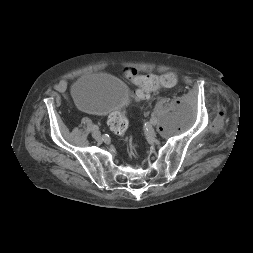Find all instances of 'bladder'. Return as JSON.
Returning <instances> with one entry per match:
<instances>
[{"label": "bladder", "instance_id": "31cf9c89", "mask_svg": "<svg viewBox=\"0 0 253 253\" xmlns=\"http://www.w3.org/2000/svg\"><path fill=\"white\" fill-rule=\"evenodd\" d=\"M71 94L83 109L95 114H107L121 110L129 102L127 85L108 74L92 73L80 77Z\"/></svg>", "mask_w": 253, "mask_h": 253}]
</instances>
